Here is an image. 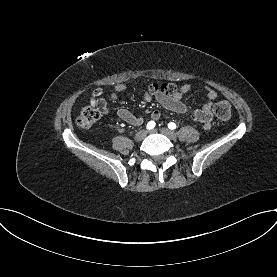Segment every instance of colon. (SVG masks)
I'll return each instance as SVG.
<instances>
[{
  "instance_id": "1",
  "label": "colon",
  "mask_w": 277,
  "mask_h": 277,
  "mask_svg": "<svg viewBox=\"0 0 277 277\" xmlns=\"http://www.w3.org/2000/svg\"><path fill=\"white\" fill-rule=\"evenodd\" d=\"M150 92L153 94H166L173 95L177 89L173 84H153L149 88ZM215 115L221 120H228L231 117V106L227 101H220L214 106ZM101 111L99 108L95 107H84L80 115L76 119V124L80 128H90L93 126L100 118Z\"/></svg>"
}]
</instances>
